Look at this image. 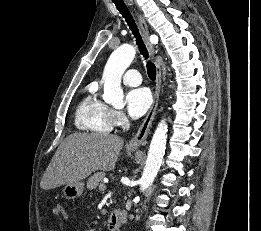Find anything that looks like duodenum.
Instances as JSON below:
<instances>
[{
  "instance_id": "obj_1",
  "label": "duodenum",
  "mask_w": 261,
  "mask_h": 231,
  "mask_svg": "<svg viewBox=\"0 0 261 231\" xmlns=\"http://www.w3.org/2000/svg\"><path fill=\"white\" fill-rule=\"evenodd\" d=\"M124 217H125V214L122 210H120V209L113 210L110 213L108 220H107L108 228L111 231L117 230L120 227Z\"/></svg>"
}]
</instances>
